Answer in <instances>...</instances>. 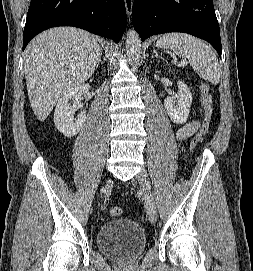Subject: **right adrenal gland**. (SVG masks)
Instances as JSON below:
<instances>
[{
	"instance_id": "2a0ac1e0",
	"label": "right adrenal gland",
	"mask_w": 253,
	"mask_h": 271,
	"mask_svg": "<svg viewBox=\"0 0 253 271\" xmlns=\"http://www.w3.org/2000/svg\"><path fill=\"white\" fill-rule=\"evenodd\" d=\"M103 62H102V54H100V56H99V59H98V62H97V65H96V68H98V66L100 65V64H102Z\"/></svg>"
}]
</instances>
